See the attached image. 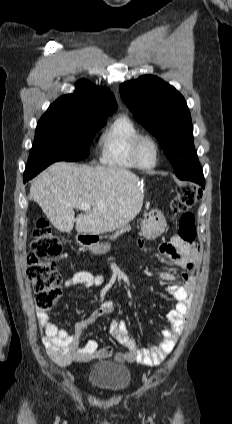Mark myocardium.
Here are the masks:
<instances>
[{
  "label": "myocardium",
  "mask_w": 232,
  "mask_h": 424,
  "mask_svg": "<svg viewBox=\"0 0 232 424\" xmlns=\"http://www.w3.org/2000/svg\"><path fill=\"white\" fill-rule=\"evenodd\" d=\"M145 140H148V141H150L153 144V146H154V152H155L153 163L151 165H148V166L143 165L140 162L139 157H138V147ZM159 153H160L159 143H158L157 139L154 136L150 135V134H144V133H142L139 136H137L135 138V140L133 141L132 148H131V156H132V159H133L135 165L139 169H142V170L153 169L157 165V163H158Z\"/></svg>",
  "instance_id": "myocardium-1"
}]
</instances>
